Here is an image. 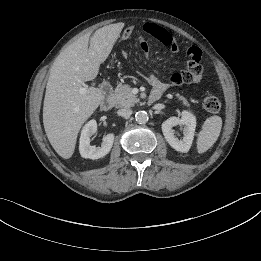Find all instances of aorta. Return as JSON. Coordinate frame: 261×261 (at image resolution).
<instances>
[{"label": "aorta", "mask_w": 261, "mask_h": 261, "mask_svg": "<svg viewBox=\"0 0 261 261\" xmlns=\"http://www.w3.org/2000/svg\"><path fill=\"white\" fill-rule=\"evenodd\" d=\"M148 114L145 111H138L135 114V120L139 124H145L148 121Z\"/></svg>", "instance_id": "762f6f07"}]
</instances>
